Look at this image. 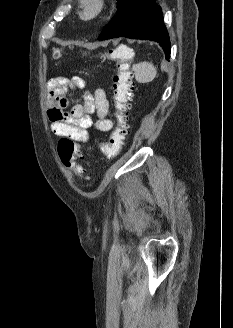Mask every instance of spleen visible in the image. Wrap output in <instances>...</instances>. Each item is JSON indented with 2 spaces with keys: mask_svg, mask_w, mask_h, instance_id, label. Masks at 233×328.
<instances>
[{
  "mask_svg": "<svg viewBox=\"0 0 233 328\" xmlns=\"http://www.w3.org/2000/svg\"><path fill=\"white\" fill-rule=\"evenodd\" d=\"M132 70L138 83L152 82L157 75V69L151 62L145 61L134 64Z\"/></svg>",
  "mask_w": 233,
  "mask_h": 328,
  "instance_id": "1",
  "label": "spleen"
}]
</instances>
